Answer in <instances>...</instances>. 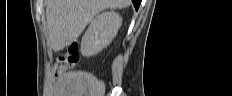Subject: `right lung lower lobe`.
<instances>
[{
	"label": "right lung lower lobe",
	"instance_id": "obj_1",
	"mask_svg": "<svg viewBox=\"0 0 232 96\" xmlns=\"http://www.w3.org/2000/svg\"><path fill=\"white\" fill-rule=\"evenodd\" d=\"M132 2L134 4L135 9L138 10L141 0H132Z\"/></svg>",
	"mask_w": 232,
	"mask_h": 96
}]
</instances>
